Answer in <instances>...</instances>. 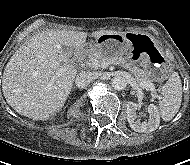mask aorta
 Segmentation results:
<instances>
[{
  "label": "aorta",
  "instance_id": "1",
  "mask_svg": "<svg viewBox=\"0 0 190 165\" xmlns=\"http://www.w3.org/2000/svg\"><path fill=\"white\" fill-rule=\"evenodd\" d=\"M126 84V79L121 75L113 77L111 81V86L116 90L124 89Z\"/></svg>",
  "mask_w": 190,
  "mask_h": 165
}]
</instances>
